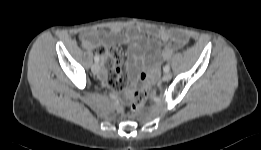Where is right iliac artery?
I'll return each instance as SVG.
<instances>
[{
	"label": "right iliac artery",
	"instance_id": "82829eb1",
	"mask_svg": "<svg viewBox=\"0 0 261 150\" xmlns=\"http://www.w3.org/2000/svg\"><path fill=\"white\" fill-rule=\"evenodd\" d=\"M94 60H95L96 63H98L99 62V56L95 55Z\"/></svg>",
	"mask_w": 261,
	"mask_h": 150
}]
</instances>
